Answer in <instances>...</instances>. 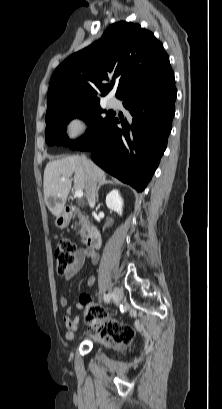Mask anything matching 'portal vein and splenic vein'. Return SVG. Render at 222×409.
<instances>
[{
  "label": "portal vein and splenic vein",
  "instance_id": "obj_1",
  "mask_svg": "<svg viewBox=\"0 0 222 409\" xmlns=\"http://www.w3.org/2000/svg\"><path fill=\"white\" fill-rule=\"evenodd\" d=\"M61 180L63 181L64 178H61ZM75 196H76L77 198H82V197H83V191H82V190H76V191H75Z\"/></svg>",
  "mask_w": 222,
  "mask_h": 409
}]
</instances>
